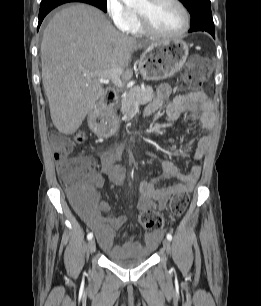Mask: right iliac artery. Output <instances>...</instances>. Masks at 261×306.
<instances>
[{
    "instance_id": "82829eb1",
    "label": "right iliac artery",
    "mask_w": 261,
    "mask_h": 306,
    "mask_svg": "<svg viewBox=\"0 0 261 306\" xmlns=\"http://www.w3.org/2000/svg\"><path fill=\"white\" fill-rule=\"evenodd\" d=\"M92 238H93V233H92V232L88 233L87 239L90 240V239H92Z\"/></svg>"
}]
</instances>
